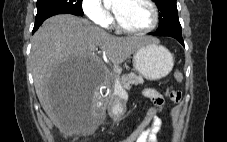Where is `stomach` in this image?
Wrapping results in <instances>:
<instances>
[{
	"instance_id": "stomach-1",
	"label": "stomach",
	"mask_w": 227,
	"mask_h": 142,
	"mask_svg": "<svg viewBox=\"0 0 227 142\" xmlns=\"http://www.w3.org/2000/svg\"><path fill=\"white\" fill-rule=\"evenodd\" d=\"M133 67L147 80L155 81L167 76L173 68L174 60L171 52L158 42H147L133 54ZM126 105L119 101L112 108V114L120 117L124 114Z\"/></svg>"
}]
</instances>
